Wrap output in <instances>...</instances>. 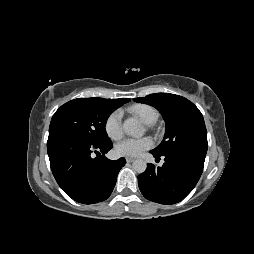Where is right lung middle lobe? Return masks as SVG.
<instances>
[{
    "label": "right lung middle lobe",
    "instance_id": "dd1d6c3e",
    "mask_svg": "<svg viewBox=\"0 0 254 254\" xmlns=\"http://www.w3.org/2000/svg\"><path fill=\"white\" fill-rule=\"evenodd\" d=\"M116 108L109 99L78 98L62 105L53 115L49 132L62 131L93 144L111 142L106 121Z\"/></svg>",
    "mask_w": 254,
    "mask_h": 254
}]
</instances>
